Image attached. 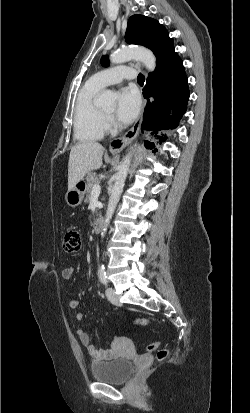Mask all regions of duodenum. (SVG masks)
I'll use <instances>...</instances> for the list:
<instances>
[{"label":"duodenum","instance_id":"1","mask_svg":"<svg viewBox=\"0 0 250 413\" xmlns=\"http://www.w3.org/2000/svg\"><path fill=\"white\" fill-rule=\"evenodd\" d=\"M104 220L102 217H98L95 219V221L93 222V226H92V230L94 233H99L102 229Z\"/></svg>","mask_w":250,"mask_h":413}]
</instances>
